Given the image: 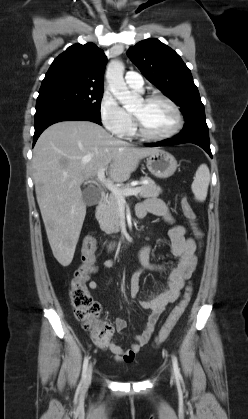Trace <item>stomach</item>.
<instances>
[{
	"mask_svg": "<svg viewBox=\"0 0 248 419\" xmlns=\"http://www.w3.org/2000/svg\"><path fill=\"white\" fill-rule=\"evenodd\" d=\"M146 166L158 178H168L177 169V161L170 153L159 150L148 156Z\"/></svg>",
	"mask_w": 248,
	"mask_h": 419,
	"instance_id": "obj_1",
	"label": "stomach"
}]
</instances>
